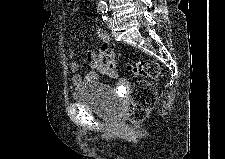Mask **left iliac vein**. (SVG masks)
I'll return each instance as SVG.
<instances>
[{
  "label": "left iliac vein",
  "mask_w": 225,
  "mask_h": 159,
  "mask_svg": "<svg viewBox=\"0 0 225 159\" xmlns=\"http://www.w3.org/2000/svg\"><path fill=\"white\" fill-rule=\"evenodd\" d=\"M106 24H107L108 27H111V26H112V18L109 17V18L106 20Z\"/></svg>",
  "instance_id": "1"
}]
</instances>
